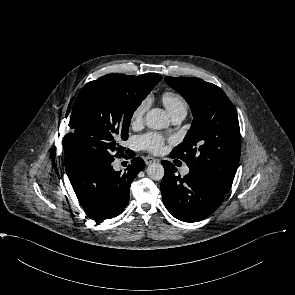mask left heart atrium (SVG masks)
I'll list each match as a JSON object with an SVG mask.
<instances>
[{"label":"left heart atrium","instance_id":"obj_1","mask_svg":"<svg viewBox=\"0 0 295 295\" xmlns=\"http://www.w3.org/2000/svg\"><path fill=\"white\" fill-rule=\"evenodd\" d=\"M139 147L151 153H159L163 149L164 139L157 133H146L137 138Z\"/></svg>","mask_w":295,"mask_h":295}]
</instances>
